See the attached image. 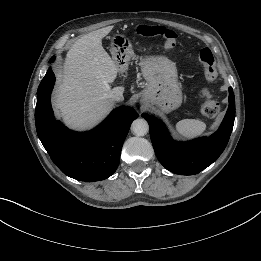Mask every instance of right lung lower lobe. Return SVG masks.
Segmentation results:
<instances>
[{"mask_svg": "<svg viewBox=\"0 0 261 261\" xmlns=\"http://www.w3.org/2000/svg\"><path fill=\"white\" fill-rule=\"evenodd\" d=\"M55 82L48 69L37 91L36 130L52 161L67 176L85 182L104 180L117 169L123 142L138 113L119 107L89 132H74L56 121L50 103Z\"/></svg>", "mask_w": 261, "mask_h": 261, "instance_id": "1", "label": "right lung lower lobe"}]
</instances>
